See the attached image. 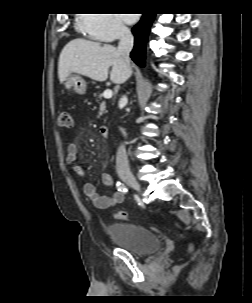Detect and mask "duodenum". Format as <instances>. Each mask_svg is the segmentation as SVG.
Returning a JSON list of instances; mask_svg holds the SVG:
<instances>
[{"label":"duodenum","mask_w":252,"mask_h":303,"mask_svg":"<svg viewBox=\"0 0 252 303\" xmlns=\"http://www.w3.org/2000/svg\"><path fill=\"white\" fill-rule=\"evenodd\" d=\"M99 133L101 137H107L109 134V128L106 125H101L99 127Z\"/></svg>","instance_id":"1"}]
</instances>
